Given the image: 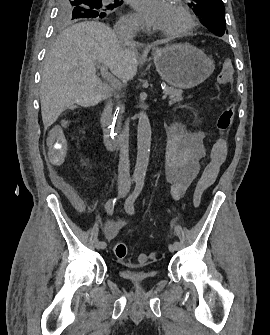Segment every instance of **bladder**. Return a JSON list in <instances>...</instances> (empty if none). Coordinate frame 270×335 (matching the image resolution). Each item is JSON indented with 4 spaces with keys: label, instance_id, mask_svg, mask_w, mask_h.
I'll return each mask as SVG.
<instances>
[{
    "label": "bladder",
    "instance_id": "31cf9c89",
    "mask_svg": "<svg viewBox=\"0 0 270 335\" xmlns=\"http://www.w3.org/2000/svg\"><path fill=\"white\" fill-rule=\"evenodd\" d=\"M157 273L149 271H124L121 272L123 281L134 285H144L156 278Z\"/></svg>",
    "mask_w": 270,
    "mask_h": 335
}]
</instances>
